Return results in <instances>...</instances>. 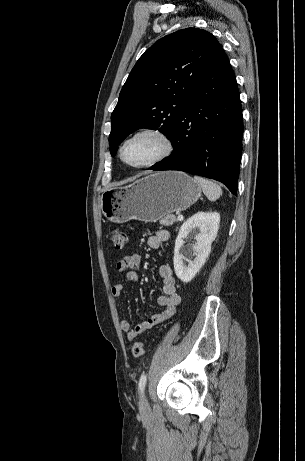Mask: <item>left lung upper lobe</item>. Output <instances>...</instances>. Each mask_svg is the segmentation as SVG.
Returning a JSON list of instances; mask_svg holds the SVG:
<instances>
[{"label": "left lung upper lobe", "instance_id": "left-lung-upper-lobe-1", "mask_svg": "<svg viewBox=\"0 0 305 461\" xmlns=\"http://www.w3.org/2000/svg\"><path fill=\"white\" fill-rule=\"evenodd\" d=\"M222 51L211 33L196 28L174 32L147 49L129 74L111 115V154L139 128L160 126V132L170 138L191 91Z\"/></svg>", "mask_w": 305, "mask_h": 461}]
</instances>
